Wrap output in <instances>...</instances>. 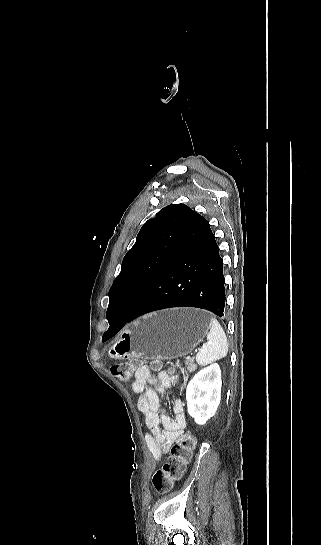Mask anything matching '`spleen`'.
I'll return each instance as SVG.
<instances>
[{
  "label": "spleen",
  "instance_id": "1",
  "mask_svg": "<svg viewBox=\"0 0 321 545\" xmlns=\"http://www.w3.org/2000/svg\"><path fill=\"white\" fill-rule=\"evenodd\" d=\"M227 353V337L220 323L216 319H211V329L207 335V343H204L202 349L197 353L196 361L201 367H206V365H211V363L223 359Z\"/></svg>",
  "mask_w": 321,
  "mask_h": 545
}]
</instances>
